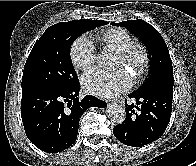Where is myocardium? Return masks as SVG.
I'll list each match as a JSON object with an SVG mask.
<instances>
[{
  "mask_svg": "<svg viewBox=\"0 0 196 166\" xmlns=\"http://www.w3.org/2000/svg\"><path fill=\"white\" fill-rule=\"evenodd\" d=\"M122 64L129 65L138 77L143 76L149 67V53L140 43L132 44L128 49L118 53Z\"/></svg>",
  "mask_w": 196,
  "mask_h": 166,
  "instance_id": "obj_1",
  "label": "myocardium"
}]
</instances>
